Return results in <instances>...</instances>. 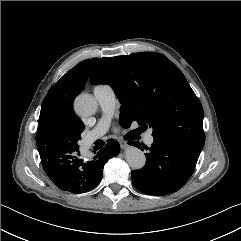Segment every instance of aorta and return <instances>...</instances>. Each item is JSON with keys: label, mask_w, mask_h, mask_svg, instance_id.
<instances>
[{"label": "aorta", "mask_w": 241, "mask_h": 241, "mask_svg": "<svg viewBox=\"0 0 241 241\" xmlns=\"http://www.w3.org/2000/svg\"><path fill=\"white\" fill-rule=\"evenodd\" d=\"M74 108L80 116H91L96 113L98 102L92 95L83 93L76 97ZM125 156L128 165L132 169L138 170L144 167L146 158L140 149L131 146L126 150Z\"/></svg>", "instance_id": "obj_1"}]
</instances>
